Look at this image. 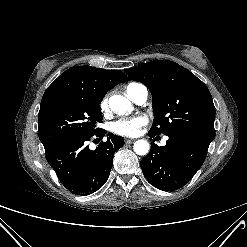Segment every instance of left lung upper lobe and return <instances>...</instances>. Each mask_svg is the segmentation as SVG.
I'll return each mask as SVG.
<instances>
[{
	"label": "left lung upper lobe",
	"instance_id": "1",
	"mask_svg": "<svg viewBox=\"0 0 247 247\" xmlns=\"http://www.w3.org/2000/svg\"><path fill=\"white\" fill-rule=\"evenodd\" d=\"M152 93L155 118L150 133L182 131L209 141L215 138V107L207 86L186 68L171 61H153L126 69Z\"/></svg>",
	"mask_w": 247,
	"mask_h": 247
}]
</instances>
